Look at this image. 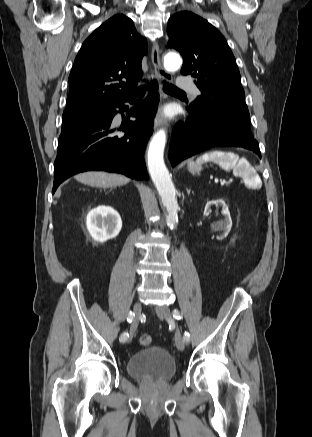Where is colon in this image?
I'll return each instance as SVG.
<instances>
[{"instance_id":"colon-1","label":"colon","mask_w":312,"mask_h":437,"mask_svg":"<svg viewBox=\"0 0 312 437\" xmlns=\"http://www.w3.org/2000/svg\"><path fill=\"white\" fill-rule=\"evenodd\" d=\"M139 342L142 346H150L152 344V337L148 334H142L139 338Z\"/></svg>"}]
</instances>
